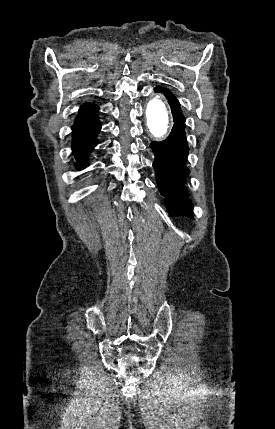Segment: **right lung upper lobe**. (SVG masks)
I'll use <instances>...</instances> for the list:
<instances>
[{"instance_id":"cb5924a9","label":"right lung upper lobe","mask_w":275,"mask_h":429,"mask_svg":"<svg viewBox=\"0 0 275 429\" xmlns=\"http://www.w3.org/2000/svg\"><path fill=\"white\" fill-rule=\"evenodd\" d=\"M96 111H97L96 105L87 103L80 108L76 120L89 116L95 113Z\"/></svg>"}]
</instances>
